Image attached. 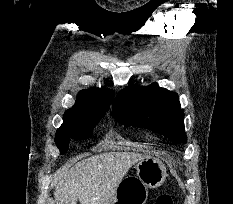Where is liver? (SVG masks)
Returning <instances> with one entry per match:
<instances>
[{
  "label": "liver",
  "instance_id": "1",
  "mask_svg": "<svg viewBox=\"0 0 233 204\" xmlns=\"http://www.w3.org/2000/svg\"><path fill=\"white\" fill-rule=\"evenodd\" d=\"M144 157L106 152L77 162L61 175L54 191L55 204H111L128 170Z\"/></svg>",
  "mask_w": 233,
  "mask_h": 204
}]
</instances>
